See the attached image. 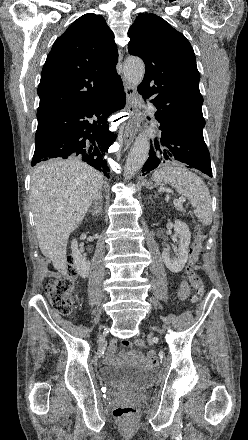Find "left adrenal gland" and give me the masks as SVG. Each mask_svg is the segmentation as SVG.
<instances>
[{"instance_id": "1", "label": "left adrenal gland", "mask_w": 248, "mask_h": 440, "mask_svg": "<svg viewBox=\"0 0 248 440\" xmlns=\"http://www.w3.org/2000/svg\"><path fill=\"white\" fill-rule=\"evenodd\" d=\"M148 199H151V200H152V197H151V196H149V197H148Z\"/></svg>"}]
</instances>
